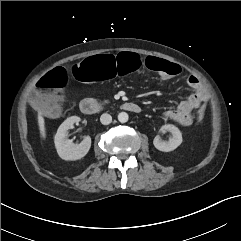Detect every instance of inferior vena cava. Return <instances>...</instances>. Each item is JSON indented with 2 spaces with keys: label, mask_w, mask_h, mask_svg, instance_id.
<instances>
[{
  "label": "inferior vena cava",
  "mask_w": 241,
  "mask_h": 241,
  "mask_svg": "<svg viewBox=\"0 0 241 241\" xmlns=\"http://www.w3.org/2000/svg\"><path fill=\"white\" fill-rule=\"evenodd\" d=\"M112 121V117L110 114H107V113H104L101 115L100 117V122L103 124V125H108L110 124Z\"/></svg>",
  "instance_id": "inferior-vena-cava-1"
}]
</instances>
